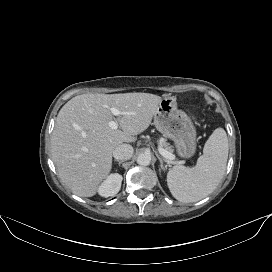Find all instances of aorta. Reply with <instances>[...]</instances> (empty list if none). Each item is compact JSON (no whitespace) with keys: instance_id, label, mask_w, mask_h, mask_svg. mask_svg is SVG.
<instances>
[{"instance_id":"aorta-1","label":"aorta","mask_w":272,"mask_h":272,"mask_svg":"<svg viewBox=\"0 0 272 272\" xmlns=\"http://www.w3.org/2000/svg\"><path fill=\"white\" fill-rule=\"evenodd\" d=\"M151 162V154L150 153H141L137 157V163L141 166H147Z\"/></svg>"}]
</instances>
